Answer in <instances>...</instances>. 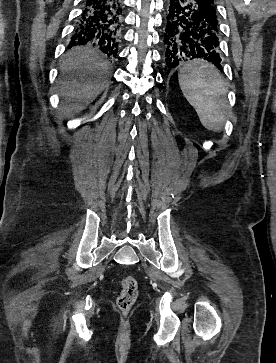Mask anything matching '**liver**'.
<instances>
[{"label": "liver", "instance_id": "obj_1", "mask_svg": "<svg viewBox=\"0 0 276 363\" xmlns=\"http://www.w3.org/2000/svg\"><path fill=\"white\" fill-rule=\"evenodd\" d=\"M60 70L66 75L60 83V95L72 101L62 108V113L69 116L83 110L104 89L103 76L109 65L100 53L90 46H76L62 59Z\"/></svg>", "mask_w": 276, "mask_h": 363}]
</instances>
